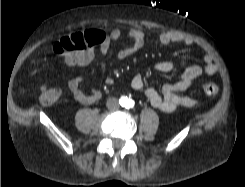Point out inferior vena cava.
<instances>
[{"label": "inferior vena cava", "mask_w": 245, "mask_h": 187, "mask_svg": "<svg viewBox=\"0 0 245 187\" xmlns=\"http://www.w3.org/2000/svg\"><path fill=\"white\" fill-rule=\"evenodd\" d=\"M106 106L110 109H117L118 108V100L116 98H109L107 99Z\"/></svg>", "instance_id": "1"}]
</instances>
